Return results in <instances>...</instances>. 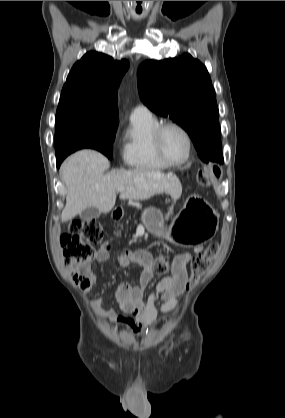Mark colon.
Returning <instances> with one entry per match:
<instances>
[{"mask_svg": "<svg viewBox=\"0 0 285 418\" xmlns=\"http://www.w3.org/2000/svg\"><path fill=\"white\" fill-rule=\"evenodd\" d=\"M221 170L218 167H203L199 171L198 181L201 185H209L213 177H219ZM104 234L101 226L96 222H82L73 219L69 225V231L60 237L66 266L74 282L82 289L90 288L92 285L91 277L87 268L77 269L74 265L87 266L97 252V246L102 243ZM219 250L218 243L209 244L203 251L194 256L191 263V276L189 285L193 286L197 278L203 274L210 263L215 259ZM157 270L165 273L169 270L165 259H160L157 263Z\"/></svg>", "mask_w": 285, "mask_h": 418, "instance_id": "1", "label": "colon"}]
</instances>
